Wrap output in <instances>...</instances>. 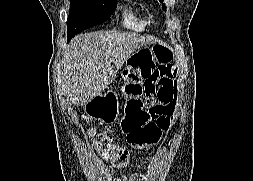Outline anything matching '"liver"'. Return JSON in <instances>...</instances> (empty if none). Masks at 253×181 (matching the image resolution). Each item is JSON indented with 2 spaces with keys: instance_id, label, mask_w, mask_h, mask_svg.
<instances>
[{
  "instance_id": "liver-1",
  "label": "liver",
  "mask_w": 253,
  "mask_h": 181,
  "mask_svg": "<svg viewBox=\"0 0 253 181\" xmlns=\"http://www.w3.org/2000/svg\"><path fill=\"white\" fill-rule=\"evenodd\" d=\"M152 41L148 36L132 32L97 31L77 35L63 59L64 90L70 103L85 106L100 95L130 55Z\"/></svg>"
}]
</instances>
